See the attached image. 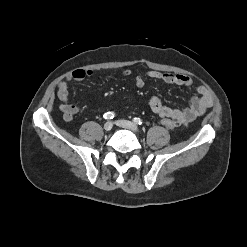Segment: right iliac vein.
Returning <instances> with one entry per match:
<instances>
[{
    "label": "right iliac vein",
    "instance_id": "right-iliac-vein-1",
    "mask_svg": "<svg viewBox=\"0 0 247 247\" xmlns=\"http://www.w3.org/2000/svg\"><path fill=\"white\" fill-rule=\"evenodd\" d=\"M104 130L105 131H110L111 129H112V127H113V124H112V122H110V121H108V122H106L105 124H104Z\"/></svg>",
    "mask_w": 247,
    "mask_h": 247
}]
</instances>
